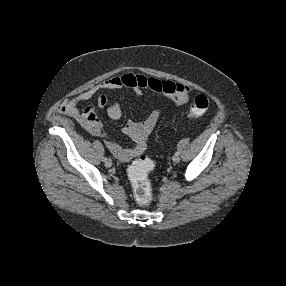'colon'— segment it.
Returning <instances> with one entry per match:
<instances>
[{
	"label": "colon",
	"mask_w": 286,
	"mask_h": 286,
	"mask_svg": "<svg viewBox=\"0 0 286 286\" xmlns=\"http://www.w3.org/2000/svg\"><path fill=\"white\" fill-rule=\"evenodd\" d=\"M208 107V97L200 94L191 103L188 116L190 118L200 117L207 111ZM153 166L152 160L141 157L128 170L129 179L133 185L134 198L140 206H147L152 201V187L148 174Z\"/></svg>",
	"instance_id": "obj_1"
}]
</instances>
